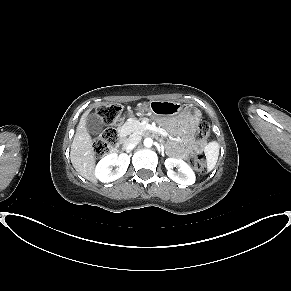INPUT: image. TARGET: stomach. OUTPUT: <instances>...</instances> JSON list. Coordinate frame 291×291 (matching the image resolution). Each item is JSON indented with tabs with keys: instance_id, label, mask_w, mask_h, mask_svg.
<instances>
[{
	"instance_id": "1",
	"label": "stomach",
	"mask_w": 291,
	"mask_h": 291,
	"mask_svg": "<svg viewBox=\"0 0 291 291\" xmlns=\"http://www.w3.org/2000/svg\"><path fill=\"white\" fill-rule=\"evenodd\" d=\"M183 105L181 103L175 101H163L156 100L150 101L148 104H143L138 106V110H144L148 108L154 115L163 116V117H176V113L178 109L182 108Z\"/></svg>"
}]
</instances>
